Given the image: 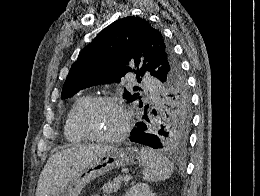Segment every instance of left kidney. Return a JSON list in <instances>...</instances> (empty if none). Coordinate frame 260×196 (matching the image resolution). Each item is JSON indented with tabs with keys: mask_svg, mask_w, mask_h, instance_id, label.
Returning <instances> with one entry per match:
<instances>
[{
	"mask_svg": "<svg viewBox=\"0 0 260 196\" xmlns=\"http://www.w3.org/2000/svg\"><path fill=\"white\" fill-rule=\"evenodd\" d=\"M125 196H156V194H152L147 184L138 182V184H135V186H132V188L126 192Z\"/></svg>",
	"mask_w": 260,
	"mask_h": 196,
	"instance_id": "1",
	"label": "left kidney"
}]
</instances>
